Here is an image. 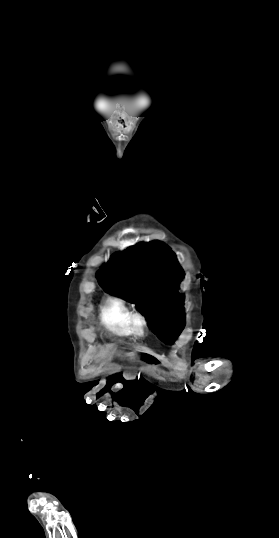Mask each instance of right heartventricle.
<instances>
[{"instance_id":"obj_1","label":"right heart ventricle","mask_w":279,"mask_h":538,"mask_svg":"<svg viewBox=\"0 0 279 538\" xmlns=\"http://www.w3.org/2000/svg\"><path fill=\"white\" fill-rule=\"evenodd\" d=\"M105 222L104 215L95 209V215L89 217L82 225V232L88 235L100 234ZM132 310L126 302L118 297L108 299L101 309V320L110 331L121 335H131L130 318Z\"/></svg>"}]
</instances>
